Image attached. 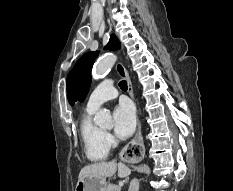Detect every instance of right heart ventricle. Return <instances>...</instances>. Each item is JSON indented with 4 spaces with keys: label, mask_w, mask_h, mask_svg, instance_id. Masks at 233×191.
I'll return each instance as SVG.
<instances>
[{
    "label": "right heart ventricle",
    "mask_w": 233,
    "mask_h": 191,
    "mask_svg": "<svg viewBox=\"0 0 233 191\" xmlns=\"http://www.w3.org/2000/svg\"><path fill=\"white\" fill-rule=\"evenodd\" d=\"M94 111L87 110L80 122V136L86 157L92 162L104 161L109 154V147L104 139V132L93 123Z\"/></svg>",
    "instance_id": "obj_1"
}]
</instances>
